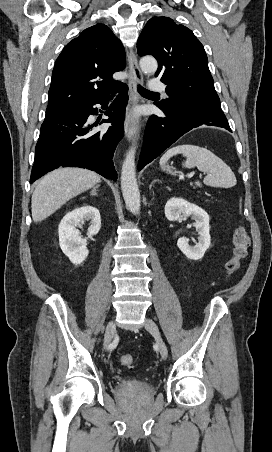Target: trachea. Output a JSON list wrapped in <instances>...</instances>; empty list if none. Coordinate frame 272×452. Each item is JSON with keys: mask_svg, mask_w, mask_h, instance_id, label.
<instances>
[{"mask_svg": "<svg viewBox=\"0 0 272 452\" xmlns=\"http://www.w3.org/2000/svg\"><path fill=\"white\" fill-rule=\"evenodd\" d=\"M138 92H139L141 95H153V94H157V93H155V92H151V91H149V90L143 88V87L140 86V85L138 86Z\"/></svg>", "mask_w": 272, "mask_h": 452, "instance_id": "obj_1", "label": "trachea"}]
</instances>
